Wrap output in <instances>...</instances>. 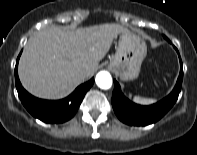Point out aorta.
<instances>
[{
  "label": "aorta",
  "mask_w": 197,
  "mask_h": 155,
  "mask_svg": "<svg viewBox=\"0 0 197 155\" xmlns=\"http://www.w3.org/2000/svg\"><path fill=\"white\" fill-rule=\"evenodd\" d=\"M96 84L101 89H109L112 86V77L107 71H100L95 78Z\"/></svg>",
  "instance_id": "1"
}]
</instances>
